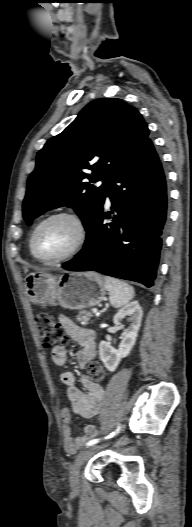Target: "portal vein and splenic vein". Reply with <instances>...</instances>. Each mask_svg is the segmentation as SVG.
<instances>
[{"mask_svg": "<svg viewBox=\"0 0 192 527\" xmlns=\"http://www.w3.org/2000/svg\"><path fill=\"white\" fill-rule=\"evenodd\" d=\"M92 312H93L94 314H97V313H98V310H97V309H93Z\"/></svg>", "mask_w": 192, "mask_h": 527, "instance_id": "1", "label": "portal vein and splenic vein"}]
</instances>
